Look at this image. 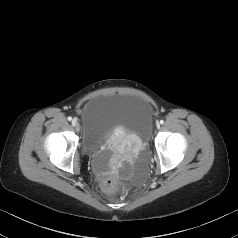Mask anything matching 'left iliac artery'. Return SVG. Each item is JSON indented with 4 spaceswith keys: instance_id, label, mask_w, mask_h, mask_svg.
<instances>
[{
    "instance_id": "1",
    "label": "left iliac artery",
    "mask_w": 238,
    "mask_h": 238,
    "mask_svg": "<svg viewBox=\"0 0 238 238\" xmlns=\"http://www.w3.org/2000/svg\"><path fill=\"white\" fill-rule=\"evenodd\" d=\"M164 123V120H160V124H163Z\"/></svg>"
}]
</instances>
